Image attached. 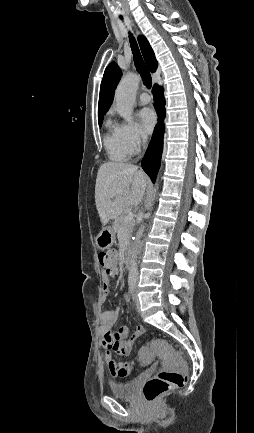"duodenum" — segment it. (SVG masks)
Here are the masks:
<instances>
[{"mask_svg": "<svg viewBox=\"0 0 254 433\" xmlns=\"http://www.w3.org/2000/svg\"><path fill=\"white\" fill-rule=\"evenodd\" d=\"M130 257H131V248H130V246H126L125 253H124V262H123V264H124V268L127 269V270H129L130 266H131V259H130Z\"/></svg>", "mask_w": 254, "mask_h": 433, "instance_id": "1", "label": "duodenum"}]
</instances>
